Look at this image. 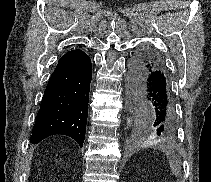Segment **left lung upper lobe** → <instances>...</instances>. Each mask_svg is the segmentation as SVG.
I'll return each instance as SVG.
<instances>
[{
  "label": "left lung upper lobe",
  "instance_id": "obj_1",
  "mask_svg": "<svg viewBox=\"0 0 211 182\" xmlns=\"http://www.w3.org/2000/svg\"><path fill=\"white\" fill-rule=\"evenodd\" d=\"M145 131L147 134H149L150 132H152V129H151V127H149V128H146Z\"/></svg>",
  "mask_w": 211,
  "mask_h": 182
}]
</instances>
